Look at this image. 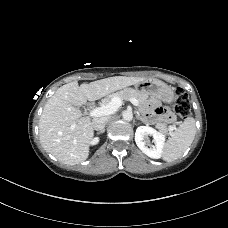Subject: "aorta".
Listing matches in <instances>:
<instances>
[{"label":"aorta","instance_id":"762f6f07","mask_svg":"<svg viewBox=\"0 0 228 228\" xmlns=\"http://www.w3.org/2000/svg\"><path fill=\"white\" fill-rule=\"evenodd\" d=\"M122 116L125 121H131L133 119V113L129 110L124 111Z\"/></svg>","mask_w":228,"mask_h":228}]
</instances>
